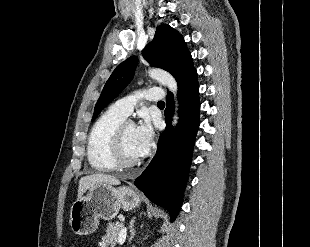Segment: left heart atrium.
I'll use <instances>...</instances> for the list:
<instances>
[{"instance_id":"1","label":"left heart atrium","mask_w":310,"mask_h":247,"mask_svg":"<svg viewBox=\"0 0 310 247\" xmlns=\"http://www.w3.org/2000/svg\"><path fill=\"white\" fill-rule=\"evenodd\" d=\"M154 130L148 117H144L142 122L136 127L137 152L140 157L144 156L153 143Z\"/></svg>"}]
</instances>
